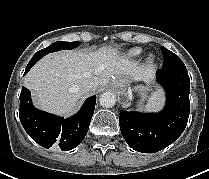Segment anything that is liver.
Returning <instances> with one entry per match:
<instances>
[{
    "label": "liver",
    "mask_w": 209,
    "mask_h": 179,
    "mask_svg": "<svg viewBox=\"0 0 209 179\" xmlns=\"http://www.w3.org/2000/svg\"><path fill=\"white\" fill-rule=\"evenodd\" d=\"M154 69L128 60L112 47L97 51L64 50L46 55L24 78L32 92L35 106L57 114L73 113L86 92L80 89L85 80L95 83L94 89L107 86L113 78L131 81L153 80Z\"/></svg>",
    "instance_id": "6515ba94"
}]
</instances>
